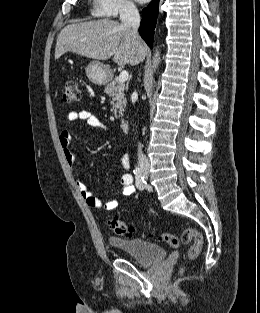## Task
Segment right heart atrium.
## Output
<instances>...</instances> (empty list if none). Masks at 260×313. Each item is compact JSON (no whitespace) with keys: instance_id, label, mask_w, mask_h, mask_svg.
Segmentation results:
<instances>
[{"instance_id":"d8ad5b80","label":"right heart atrium","mask_w":260,"mask_h":313,"mask_svg":"<svg viewBox=\"0 0 260 313\" xmlns=\"http://www.w3.org/2000/svg\"><path fill=\"white\" fill-rule=\"evenodd\" d=\"M92 8L94 15L108 18L132 15L137 11L132 0H92Z\"/></svg>"}]
</instances>
